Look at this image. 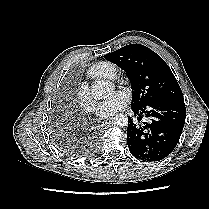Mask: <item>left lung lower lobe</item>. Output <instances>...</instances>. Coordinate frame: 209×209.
<instances>
[{"label": "left lung lower lobe", "mask_w": 209, "mask_h": 209, "mask_svg": "<svg viewBox=\"0 0 209 209\" xmlns=\"http://www.w3.org/2000/svg\"><path fill=\"white\" fill-rule=\"evenodd\" d=\"M137 117H128L127 144L131 154L142 161H160L176 147L181 136L186 108L183 98L132 107ZM147 118L146 122L142 118Z\"/></svg>", "instance_id": "obj_1"}]
</instances>
